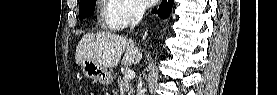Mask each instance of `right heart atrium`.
Returning a JSON list of instances; mask_svg holds the SVG:
<instances>
[{"label": "right heart atrium", "instance_id": "right-heart-atrium-1", "mask_svg": "<svg viewBox=\"0 0 277 95\" xmlns=\"http://www.w3.org/2000/svg\"><path fill=\"white\" fill-rule=\"evenodd\" d=\"M118 4L119 9L112 19V29L121 30L130 22L138 19L143 8L136 0H112Z\"/></svg>", "mask_w": 277, "mask_h": 95}]
</instances>
